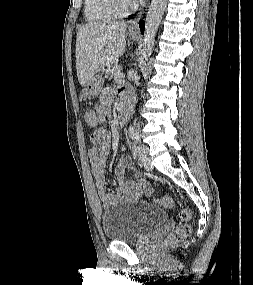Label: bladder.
Listing matches in <instances>:
<instances>
[{
    "instance_id": "1",
    "label": "bladder",
    "mask_w": 253,
    "mask_h": 285,
    "mask_svg": "<svg viewBox=\"0 0 253 285\" xmlns=\"http://www.w3.org/2000/svg\"><path fill=\"white\" fill-rule=\"evenodd\" d=\"M167 220L165 210L140 201H121L102 214V232L109 241L133 242Z\"/></svg>"
}]
</instances>
